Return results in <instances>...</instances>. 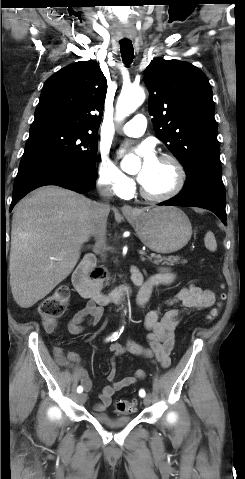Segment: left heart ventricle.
Wrapping results in <instances>:
<instances>
[{
	"instance_id": "b2bd125f",
	"label": "left heart ventricle",
	"mask_w": 245,
	"mask_h": 479,
	"mask_svg": "<svg viewBox=\"0 0 245 479\" xmlns=\"http://www.w3.org/2000/svg\"><path fill=\"white\" fill-rule=\"evenodd\" d=\"M173 182L174 170L171 164L158 159L142 186L151 194H162L171 188Z\"/></svg>"
}]
</instances>
